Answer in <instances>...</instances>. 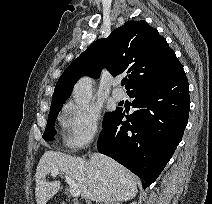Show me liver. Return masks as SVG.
Wrapping results in <instances>:
<instances>
[{
    "label": "liver",
    "instance_id": "liver-1",
    "mask_svg": "<svg viewBox=\"0 0 212 204\" xmlns=\"http://www.w3.org/2000/svg\"><path fill=\"white\" fill-rule=\"evenodd\" d=\"M52 169L71 177L86 200L111 204L133 199L137 193V183L130 171L110 157L93 153L86 161L62 152L46 151L35 174L37 204H46L62 189L59 180H46Z\"/></svg>",
    "mask_w": 212,
    "mask_h": 204
}]
</instances>
